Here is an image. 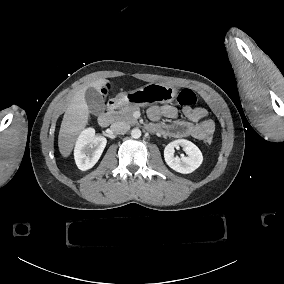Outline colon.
I'll return each mask as SVG.
<instances>
[{
	"mask_svg": "<svg viewBox=\"0 0 284 284\" xmlns=\"http://www.w3.org/2000/svg\"><path fill=\"white\" fill-rule=\"evenodd\" d=\"M176 100H177L179 105H181L183 107H189V106L194 104V102L196 100V95H195L193 90H191L189 88H183V89L178 91V93L176 95ZM205 141L207 143H210L212 141V139L210 137H207L205 139Z\"/></svg>",
	"mask_w": 284,
	"mask_h": 284,
	"instance_id": "obj_1",
	"label": "colon"
}]
</instances>
